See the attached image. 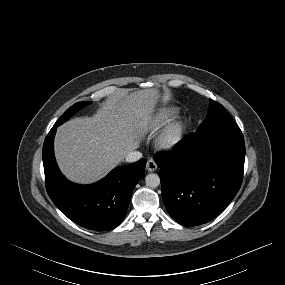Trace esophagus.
Segmentation results:
<instances>
[{
    "mask_svg": "<svg viewBox=\"0 0 285 285\" xmlns=\"http://www.w3.org/2000/svg\"><path fill=\"white\" fill-rule=\"evenodd\" d=\"M146 168H147L148 171L153 172V171H155L157 169V164L155 163L154 160L149 159L147 161Z\"/></svg>",
    "mask_w": 285,
    "mask_h": 285,
    "instance_id": "esophagus-1",
    "label": "esophagus"
}]
</instances>
